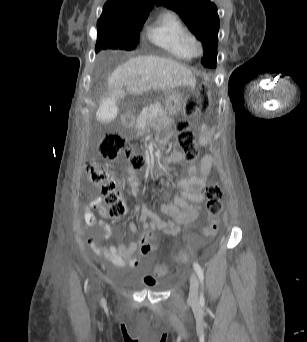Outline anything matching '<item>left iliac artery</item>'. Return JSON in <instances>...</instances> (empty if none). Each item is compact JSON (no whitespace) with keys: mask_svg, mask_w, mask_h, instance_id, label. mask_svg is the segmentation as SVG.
Here are the masks:
<instances>
[{"mask_svg":"<svg viewBox=\"0 0 307 342\" xmlns=\"http://www.w3.org/2000/svg\"><path fill=\"white\" fill-rule=\"evenodd\" d=\"M193 267H194V270L196 271V273H197V275H198V277H199V279H200V282H201V284H202V287H203V283H204V273H203V269L201 268V266L198 264V263H196V262H194L193 263ZM203 289V288H202ZM205 302V299H204V293H203V291L201 292V294H200V303H204Z\"/></svg>","mask_w":307,"mask_h":342,"instance_id":"44dca946","label":"left iliac artery"}]
</instances>
